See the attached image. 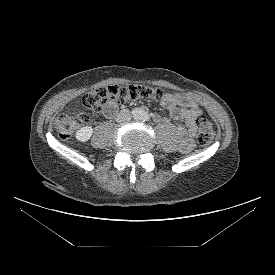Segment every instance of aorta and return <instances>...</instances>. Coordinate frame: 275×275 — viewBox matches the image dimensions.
I'll return each mask as SVG.
<instances>
[{"label":"aorta","instance_id":"762f6f07","mask_svg":"<svg viewBox=\"0 0 275 275\" xmlns=\"http://www.w3.org/2000/svg\"><path fill=\"white\" fill-rule=\"evenodd\" d=\"M132 114H133V117L136 119V120H142L144 119V116H145V112L144 110H142L141 108H136L132 111Z\"/></svg>","mask_w":275,"mask_h":275}]
</instances>
